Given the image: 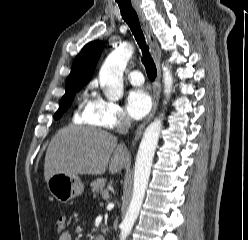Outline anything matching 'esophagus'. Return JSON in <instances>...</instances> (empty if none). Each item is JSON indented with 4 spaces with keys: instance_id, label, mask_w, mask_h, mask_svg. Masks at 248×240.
Returning a JSON list of instances; mask_svg holds the SVG:
<instances>
[{
    "instance_id": "34e87169",
    "label": "esophagus",
    "mask_w": 248,
    "mask_h": 240,
    "mask_svg": "<svg viewBox=\"0 0 248 240\" xmlns=\"http://www.w3.org/2000/svg\"><path fill=\"white\" fill-rule=\"evenodd\" d=\"M134 8L142 22L143 28L147 34L148 40L150 42L151 45V51L152 54L154 56L155 59V63H156V69H157V76H156V80L154 82L153 85V108L149 114V116L146 118V120L140 124V126L137 128L136 132H135V136L134 139L132 141V145H135L136 142L140 139L142 132L145 128V126L148 124V122L152 119V117L154 116L157 107H158V103H159V96H160V91H161V83H160V78H161V49L156 41V38L152 32L151 26L148 22V20L146 19L141 7L134 3Z\"/></svg>"
}]
</instances>
